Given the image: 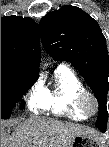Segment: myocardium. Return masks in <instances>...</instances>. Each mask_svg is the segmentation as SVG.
Returning a JSON list of instances; mask_svg holds the SVG:
<instances>
[{
  "mask_svg": "<svg viewBox=\"0 0 109 147\" xmlns=\"http://www.w3.org/2000/svg\"><path fill=\"white\" fill-rule=\"evenodd\" d=\"M88 99H92L94 101V109L93 110H89L87 107L86 102ZM76 103H77L78 108L84 114H86L88 116L96 114L99 110V100H98L97 96L94 93L87 91V90L83 91L79 95Z\"/></svg>",
  "mask_w": 109,
  "mask_h": 147,
  "instance_id": "obj_1",
  "label": "myocardium"
}]
</instances>
